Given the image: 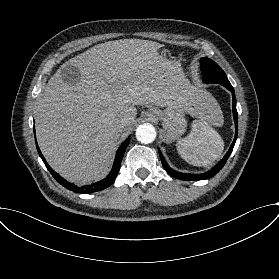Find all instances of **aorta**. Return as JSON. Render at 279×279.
Segmentation results:
<instances>
[{
    "instance_id": "obj_1",
    "label": "aorta",
    "mask_w": 279,
    "mask_h": 279,
    "mask_svg": "<svg viewBox=\"0 0 279 279\" xmlns=\"http://www.w3.org/2000/svg\"><path fill=\"white\" fill-rule=\"evenodd\" d=\"M136 138L144 144H149L156 138V130L153 125L149 123L141 124L136 129Z\"/></svg>"
}]
</instances>
